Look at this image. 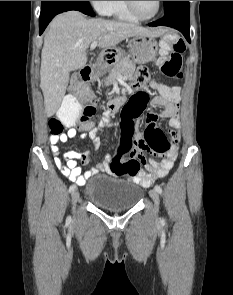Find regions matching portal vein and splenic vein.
I'll list each match as a JSON object with an SVG mask.
<instances>
[{
  "label": "portal vein and splenic vein",
  "mask_w": 233,
  "mask_h": 295,
  "mask_svg": "<svg viewBox=\"0 0 233 295\" xmlns=\"http://www.w3.org/2000/svg\"><path fill=\"white\" fill-rule=\"evenodd\" d=\"M97 44H98V41H97V40H96V41H93V42L91 43L90 49H91V50H94V49L96 48Z\"/></svg>",
  "instance_id": "1"
}]
</instances>
